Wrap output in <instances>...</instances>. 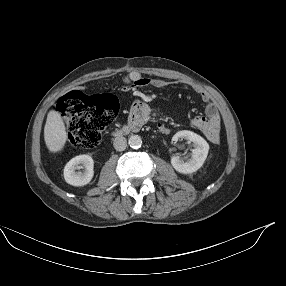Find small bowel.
<instances>
[{
    "mask_svg": "<svg viewBox=\"0 0 286 286\" xmlns=\"http://www.w3.org/2000/svg\"><path fill=\"white\" fill-rule=\"evenodd\" d=\"M163 86H165V82L163 80L146 78V77H143L138 72L132 71L128 73L126 77V85L124 87V90L135 91L136 89L142 88V87L160 88ZM195 91L201 97L202 101L206 103V115L196 116L192 118L190 121V125L200 132L202 128L208 123H215L220 127L221 117L210 94L200 87L195 88ZM134 105L139 106L140 108H145L146 101L135 99ZM159 131L163 134H168L170 133V128L164 124V127H159ZM219 141L217 143H219Z\"/></svg>",
    "mask_w": 286,
    "mask_h": 286,
    "instance_id": "1",
    "label": "small bowel"
}]
</instances>
